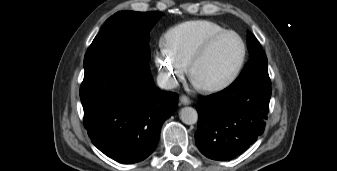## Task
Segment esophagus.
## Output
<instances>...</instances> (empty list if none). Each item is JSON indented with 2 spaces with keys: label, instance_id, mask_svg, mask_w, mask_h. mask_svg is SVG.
I'll return each instance as SVG.
<instances>
[{
  "label": "esophagus",
  "instance_id": "34e87169",
  "mask_svg": "<svg viewBox=\"0 0 337 171\" xmlns=\"http://www.w3.org/2000/svg\"><path fill=\"white\" fill-rule=\"evenodd\" d=\"M180 103L183 104V105H189V104H191V100L187 96L182 95V96H180Z\"/></svg>",
  "mask_w": 337,
  "mask_h": 171
}]
</instances>
